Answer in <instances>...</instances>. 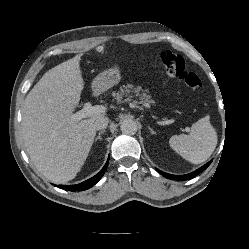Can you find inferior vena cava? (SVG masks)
<instances>
[{
    "label": "inferior vena cava",
    "mask_w": 249,
    "mask_h": 249,
    "mask_svg": "<svg viewBox=\"0 0 249 249\" xmlns=\"http://www.w3.org/2000/svg\"><path fill=\"white\" fill-rule=\"evenodd\" d=\"M109 123V119L108 117H99L95 120L93 126L95 130H102L105 129L107 127Z\"/></svg>",
    "instance_id": "obj_1"
}]
</instances>
